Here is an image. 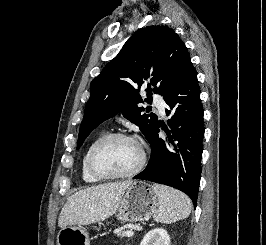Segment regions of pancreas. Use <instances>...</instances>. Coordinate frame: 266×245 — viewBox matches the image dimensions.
Wrapping results in <instances>:
<instances>
[{
  "instance_id": "obj_1",
  "label": "pancreas",
  "mask_w": 266,
  "mask_h": 245,
  "mask_svg": "<svg viewBox=\"0 0 266 245\" xmlns=\"http://www.w3.org/2000/svg\"><path fill=\"white\" fill-rule=\"evenodd\" d=\"M113 233H115L116 237H123V231H113Z\"/></svg>"
}]
</instances>
